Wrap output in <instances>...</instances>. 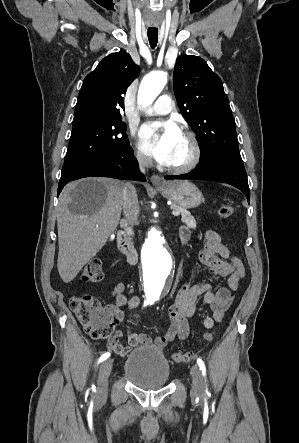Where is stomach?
<instances>
[{
	"label": "stomach",
	"mask_w": 299,
	"mask_h": 443,
	"mask_svg": "<svg viewBox=\"0 0 299 443\" xmlns=\"http://www.w3.org/2000/svg\"><path fill=\"white\" fill-rule=\"evenodd\" d=\"M157 190L167 199L185 208L198 207L203 202L202 192L191 182H169Z\"/></svg>",
	"instance_id": "stomach-1"
}]
</instances>
